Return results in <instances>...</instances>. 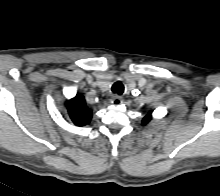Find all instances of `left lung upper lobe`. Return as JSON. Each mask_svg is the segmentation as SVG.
<instances>
[{"mask_svg": "<svg viewBox=\"0 0 220 196\" xmlns=\"http://www.w3.org/2000/svg\"><path fill=\"white\" fill-rule=\"evenodd\" d=\"M151 112H149L142 120V125H146L151 119H152V116H151Z\"/></svg>", "mask_w": 220, "mask_h": 196, "instance_id": "obj_1", "label": "left lung upper lobe"}]
</instances>
